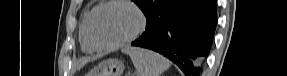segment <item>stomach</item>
<instances>
[{"mask_svg":"<svg viewBox=\"0 0 287 76\" xmlns=\"http://www.w3.org/2000/svg\"><path fill=\"white\" fill-rule=\"evenodd\" d=\"M124 71V64L117 59L102 61L87 76H121Z\"/></svg>","mask_w":287,"mask_h":76,"instance_id":"0dacf381","label":"stomach"}]
</instances>
